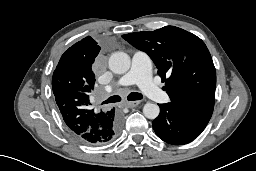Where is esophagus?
<instances>
[{
  "label": "esophagus",
  "instance_id": "34e87169",
  "mask_svg": "<svg viewBox=\"0 0 256 171\" xmlns=\"http://www.w3.org/2000/svg\"><path fill=\"white\" fill-rule=\"evenodd\" d=\"M140 103H141L140 101H129V102H126L125 105L128 108H133V107L138 106Z\"/></svg>",
  "mask_w": 256,
  "mask_h": 171
}]
</instances>
